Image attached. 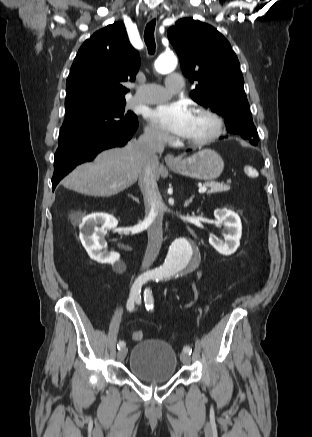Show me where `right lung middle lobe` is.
Wrapping results in <instances>:
<instances>
[{"label":"right lung middle lobe","instance_id":"dd1d6c3e","mask_svg":"<svg viewBox=\"0 0 312 437\" xmlns=\"http://www.w3.org/2000/svg\"><path fill=\"white\" fill-rule=\"evenodd\" d=\"M125 101L116 103H80L66 107L60 129L59 146L99 133L127 128L137 122L132 112L124 113Z\"/></svg>","mask_w":312,"mask_h":437}]
</instances>
